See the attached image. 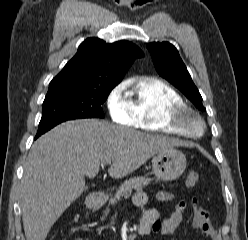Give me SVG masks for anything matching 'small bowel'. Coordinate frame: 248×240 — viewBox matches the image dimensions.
<instances>
[{
  "label": "small bowel",
  "mask_w": 248,
  "mask_h": 240,
  "mask_svg": "<svg viewBox=\"0 0 248 240\" xmlns=\"http://www.w3.org/2000/svg\"><path fill=\"white\" fill-rule=\"evenodd\" d=\"M175 198L171 192L160 191L156 194V200L165 202ZM133 202L137 206L145 207L141 220V227L146 229V234L150 232H160L164 235L175 232L182 223L183 213L189 207L193 210V227L204 233L211 240H219L217 230L212 226L209 213L201 208L195 199L190 202L181 200L177 203L175 210L165 219H159V211L149 203V197L145 192L139 191L133 197ZM74 240H83L76 236Z\"/></svg>",
  "instance_id": "c3829d8e"
}]
</instances>
